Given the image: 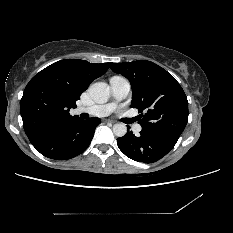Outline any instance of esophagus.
Here are the masks:
<instances>
[{
    "mask_svg": "<svg viewBox=\"0 0 233 233\" xmlns=\"http://www.w3.org/2000/svg\"><path fill=\"white\" fill-rule=\"evenodd\" d=\"M105 121L110 122V123H115L113 120H110V119H106Z\"/></svg>",
    "mask_w": 233,
    "mask_h": 233,
    "instance_id": "esophagus-1",
    "label": "esophagus"
}]
</instances>
